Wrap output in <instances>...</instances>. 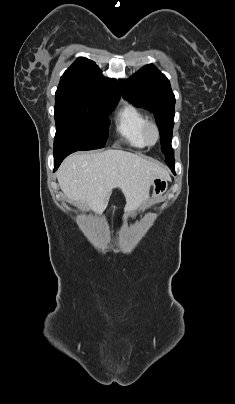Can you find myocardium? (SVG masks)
Returning a JSON list of instances; mask_svg holds the SVG:
<instances>
[{
  "instance_id": "f54148a6",
  "label": "myocardium",
  "mask_w": 235,
  "mask_h": 404,
  "mask_svg": "<svg viewBox=\"0 0 235 404\" xmlns=\"http://www.w3.org/2000/svg\"><path fill=\"white\" fill-rule=\"evenodd\" d=\"M153 135V138L150 135ZM142 138L147 146H154L160 139V132L157 124L153 121H147L143 128Z\"/></svg>"
}]
</instances>
